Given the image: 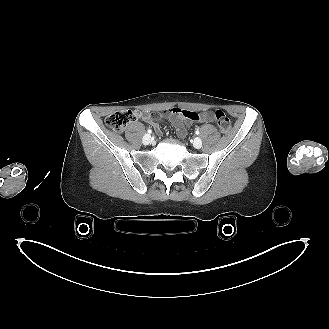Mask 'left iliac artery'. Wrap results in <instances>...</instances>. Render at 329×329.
<instances>
[{
	"instance_id": "obj_1",
	"label": "left iliac artery",
	"mask_w": 329,
	"mask_h": 329,
	"mask_svg": "<svg viewBox=\"0 0 329 329\" xmlns=\"http://www.w3.org/2000/svg\"><path fill=\"white\" fill-rule=\"evenodd\" d=\"M195 133H196L197 135H199L200 132H199V130L197 129V130L195 131Z\"/></svg>"
}]
</instances>
